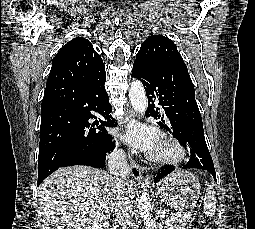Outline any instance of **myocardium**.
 Instances as JSON below:
<instances>
[{
	"label": "myocardium",
	"mask_w": 255,
	"mask_h": 229,
	"mask_svg": "<svg viewBox=\"0 0 255 229\" xmlns=\"http://www.w3.org/2000/svg\"><path fill=\"white\" fill-rule=\"evenodd\" d=\"M159 146L162 150L155 151L150 155L154 162L165 165H176L186 158L185 147L176 139L164 137L160 140Z\"/></svg>",
	"instance_id": "1"
}]
</instances>
